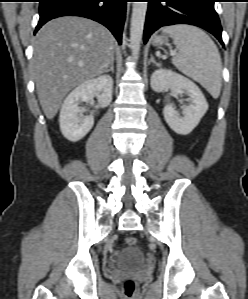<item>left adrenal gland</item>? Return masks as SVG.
I'll return each instance as SVG.
<instances>
[{
    "label": "left adrenal gland",
    "mask_w": 248,
    "mask_h": 299,
    "mask_svg": "<svg viewBox=\"0 0 248 299\" xmlns=\"http://www.w3.org/2000/svg\"><path fill=\"white\" fill-rule=\"evenodd\" d=\"M148 63H149V64H150V63H154L156 66H160V64H159L158 62L155 61L153 55H151L150 60H149Z\"/></svg>",
    "instance_id": "left-adrenal-gland-1"
}]
</instances>
